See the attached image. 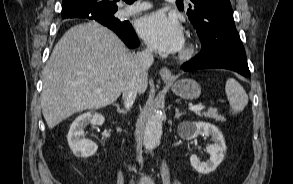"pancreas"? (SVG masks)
I'll list each match as a JSON object with an SVG mask.
<instances>
[{
  "instance_id": "obj_1",
  "label": "pancreas",
  "mask_w": 293,
  "mask_h": 184,
  "mask_svg": "<svg viewBox=\"0 0 293 184\" xmlns=\"http://www.w3.org/2000/svg\"><path fill=\"white\" fill-rule=\"evenodd\" d=\"M198 115L215 119L216 121H221V122L225 121V118L222 115H219L216 109H212V108L208 109L207 112H204Z\"/></svg>"
}]
</instances>
